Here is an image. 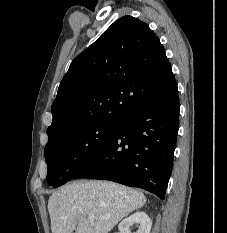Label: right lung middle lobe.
Wrapping results in <instances>:
<instances>
[{
	"label": "right lung middle lobe",
	"mask_w": 227,
	"mask_h": 233,
	"mask_svg": "<svg viewBox=\"0 0 227 233\" xmlns=\"http://www.w3.org/2000/svg\"><path fill=\"white\" fill-rule=\"evenodd\" d=\"M119 122H93L48 140L45 147L47 182L57 188L83 168L114 135Z\"/></svg>",
	"instance_id": "obj_1"
}]
</instances>
